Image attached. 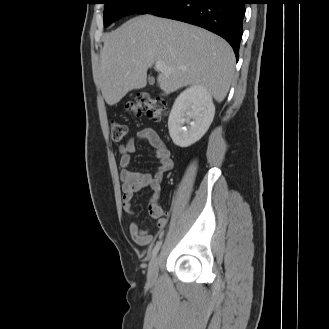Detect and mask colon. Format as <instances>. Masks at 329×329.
<instances>
[{
    "label": "colon",
    "mask_w": 329,
    "mask_h": 329,
    "mask_svg": "<svg viewBox=\"0 0 329 329\" xmlns=\"http://www.w3.org/2000/svg\"><path fill=\"white\" fill-rule=\"evenodd\" d=\"M126 110L137 117L143 115L154 121H160L166 116V106L158 98H151L147 94H139L134 101L125 106ZM111 138L114 142H122L127 135V127L117 120L110 121Z\"/></svg>",
    "instance_id": "colon-1"
}]
</instances>
